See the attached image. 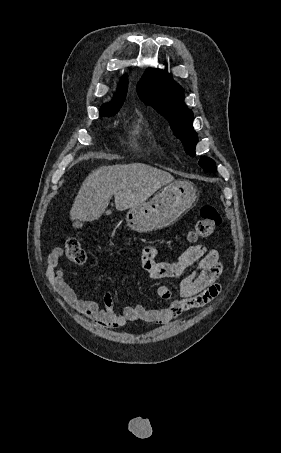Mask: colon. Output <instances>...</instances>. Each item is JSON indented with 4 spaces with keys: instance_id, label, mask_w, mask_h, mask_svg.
I'll return each instance as SVG.
<instances>
[{
    "instance_id": "1",
    "label": "colon",
    "mask_w": 281,
    "mask_h": 453,
    "mask_svg": "<svg viewBox=\"0 0 281 453\" xmlns=\"http://www.w3.org/2000/svg\"><path fill=\"white\" fill-rule=\"evenodd\" d=\"M220 224V218L212 203H202L200 216L191 232L193 243L206 239ZM64 252L68 260L72 262H84L87 253L80 240L76 237H69L65 240Z\"/></svg>"
}]
</instances>
